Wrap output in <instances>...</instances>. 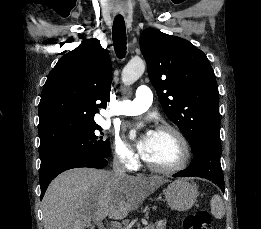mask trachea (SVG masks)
Masks as SVG:
<instances>
[{
  "label": "trachea",
  "instance_id": "trachea-1",
  "mask_svg": "<svg viewBox=\"0 0 261 229\" xmlns=\"http://www.w3.org/2000/svg\"><path fill=\"white\" fill-rule=\"evenodd\" d=\"M113 45L118 58L126 55V27L123 17L117 16L113 22Z\"/></svg>",
  "mask_w": 261,
  "mask_h": 229
}]
</instances>
